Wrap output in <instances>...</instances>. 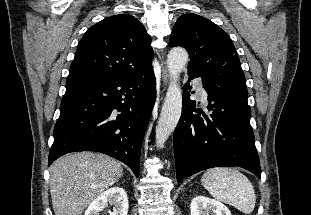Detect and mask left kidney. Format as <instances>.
Segmentation results:
<instances>
[{"label":"left kidney","instance_id":"left-kidney-1","mask_svg":"<svg viewBox=\"0 0 311 215\" xmlns=\"http://www.w3.org/2000/svg\"><path fill=\"white\" fill-rule=\"evenodd\" d=\"M191 215H231L221 202L205 196H196L190 205Z\"/></svg>","mask_w":311,"mask_h":215}]
</instances>
